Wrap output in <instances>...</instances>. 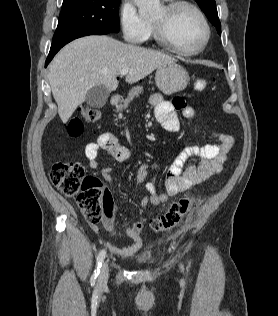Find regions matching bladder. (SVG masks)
Segmentation results:
<instances>
[{"label":"bladder","mask_w":278,"mask_h":316,"mask_svg":"<svg viewBox=\"0 0 278 316\" xmlns=\"http://www.w3.org/2000/svg\"><path fill=\"white\" fill-rule=\"evenodd\" d=\"M140 262H142V263H149L150 260L147 259V258H142V259H140Z\"/></svg>","instance_id":"obj_1"}]
</instances>
